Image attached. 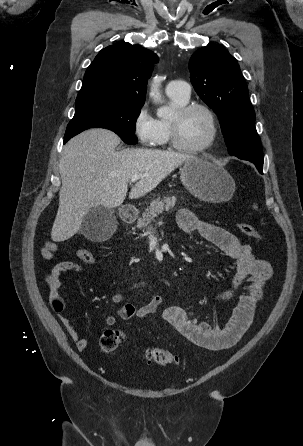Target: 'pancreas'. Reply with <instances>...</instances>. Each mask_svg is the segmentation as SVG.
<instances>
[{"mask_svg":"<svg viewBox=\"0 0 303 446\" xmlns=\"http://www.w3.org/2000/svg\"><path fill=\"white\" fill-rule=\"evenodd\" d=\"M176 196H166L163 199L157 198L153 200L150 206L142 214V217L137 221V228L142 229L149 226L155 219L164 211H169L175 206Z\"/></svg>","mask_w":303,"mask_h":446,"instance_id":"pancreas-1","label":"pancreas"}]
</instances>
